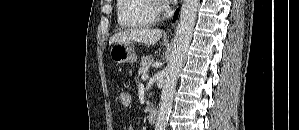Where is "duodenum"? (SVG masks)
Returning <instances> with one entry per match:
<instances>
[{
    "label": "duodenum",
    "instance_id": "duodenum-1",
    "mask_svg": "<svg viewBox=\"0 0 299 130\" xmlns=\"http://www.w3.org/2000/svg\"><path fill=\"white\" fill-rule=\"evenodd\" d=\"M147 120L150 124H154L157 120V110L156 108H149L148 110V115H147Z\"/></svg>",
    "mask_w": 299,
    "mask_h": 130
}]
</instances>
